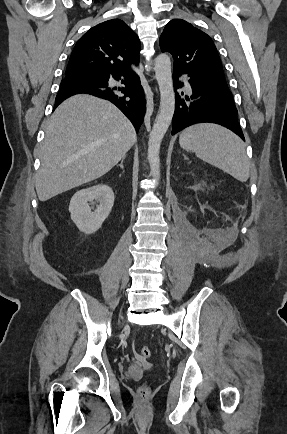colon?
Segmentation results:
<instances>
[{"mask_svg": "<svg viewBox=\"0 0 287 434\" xmlns=\"http://www.w3.org/2000/svg\"><path fill=\"white\" fill-rule=\"evenodd\" d=\"M151 356V350L149 347L147 346H143L140 348L139 353H138V358L142 361L148 360ZM150 393L149 387L146 385H142L139 389H138V396L141 399H144L146 397H148Z\"/></svg>", "mask_w": 287, "mask_h": 434, "instance_id": "5ec220e1", "label": "colon"}]
</instances>
